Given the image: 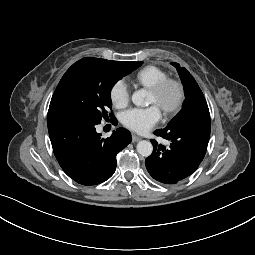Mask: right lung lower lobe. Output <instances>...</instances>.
Returning a JSON list of instances; mask_svg holds the SVG:
<instances>
[{"label":"right lung lower lobe","instance_id":"right-lung-lower-lobe-1","mask_svg":"<svg viewBox=\"0 0 255 255\" xmlns=\"http://www.w3.org/2000/svg\"><path fill=\"white\" fill-rule=\"evenodd\" d=\"M113 123H117L115 118ZM100 122L76 116L48 117L54 155L75 182L90 186L109 179L116 169V155L131 142V134L118 128L104 139L96 132Z\"/></svg>","mask_w":255,"mask_h":255}]
</instances>
